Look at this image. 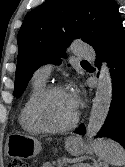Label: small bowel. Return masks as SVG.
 <instances>
[{
  "instance_id": "1",
  "label": "small bowel",
  "mask_w": 125,
  "mask_h": 167,
  "mask_svg": "<svg viewBox=\"0 0 125 167\" xmlns=\"http://www.w3.org/2000/svg\"><path fill=\"white\" fill-rule=\"evenodd\" d=\"M41 167H53V166L49 163H46V164H43Z\"/></svg>"
}]
</instances>
